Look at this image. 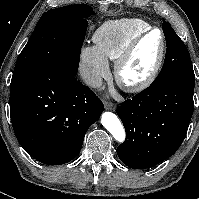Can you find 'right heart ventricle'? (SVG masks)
<instances>
[{
  "label": "right heart ventricle",
  "mask_w": 199,
  "mask_h": 199,
  "mask_svg": "<svg viewBox=\"0 0 199 199\" xmlns=\"http://www.w3.org/2000/svg\"><path fill=\"white\" fill-rule=\"evenodd\" d=\"M151 25L142 19H119L105 22L95 32L93 40L106 60L116 61L127 45Z\"/></svg>",
  "instance_id": "obj_1"
}]
</instances>
